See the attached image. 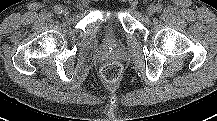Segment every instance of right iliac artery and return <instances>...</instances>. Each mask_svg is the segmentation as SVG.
<instances>
[{
	"label": "right iliac artery",
	"mask_w": 217,
	"mask_h": 121,
	"mask_svg": "<svg viewBox=\"0 0 217 121\" xmlns=\"http://www.w3.org/2000/svg\"><path fill=\"white\" fill-rule=\"evenodd\" d=\"M54 11H55L57 14H60V13L62 12V7H61L60 5H57V6H55Z\"/></svg>",
	"instance_id": "1"
}]
</instances>
